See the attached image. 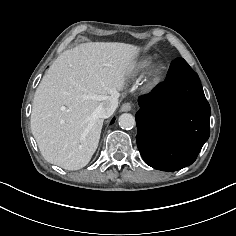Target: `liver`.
<instances>
[{"mask_svg":"<svg viewBox=\"0 0 236 236\" xmlns=\"http://www.w3.org/2000/svg\"><path fill=\"white\" fill-rule=\"evenodd\" d=\"M137 53L130 44L91 42L58 56L36 90L31 113L45 160L66 170L89 163L104 121L98 107L119 95Z\"/></svg>","mask_w":236,"mask_h":236,"instance_id":"liver-1","label":"liver"}]
</instances>
